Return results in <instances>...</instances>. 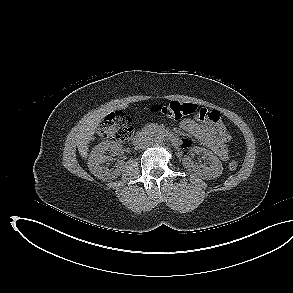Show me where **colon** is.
<instances>
[{
	"label": "colon",
	"instance_id": "colon-1",
	"mask_svg": "<svg viewBox=\"0 0 293 293\" xmlns=\"http://www.w3.org/2000/svg\"><path fill=\"white\" fill-rule=\"evenodd\" d=\"M153 110L160 112L171 119H181L186 116H193L201 121L210 122L216 125L218 137L226 143L230 135L222 123L221 115L216 110L198 106L193 103L173 101L167 106H155ZM133 132L131 118L123 112L117 111L108 114L97 129V135L102 139H110L116 142L127 141ZM230 170H236L239 162L234 160L229 163Z\"/></svg>",
	"mask_w": 293,
	"mask_h": 293
}]
</instances>
